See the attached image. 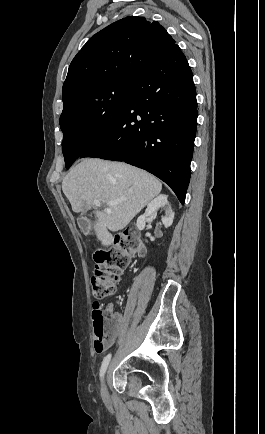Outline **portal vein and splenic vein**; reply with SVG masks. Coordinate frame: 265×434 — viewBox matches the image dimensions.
<instances>
[{"label":"portal vein and splenic vein","mask_w":265,"mask_h":434,"mask_svg":"<svg viewBox=\"0 0 265 434\" xmlns=\"http://www.w3.org/2000/svg\"><path fill=\"white\" fill-rule=\"evenodd\" d=\"M121 202H126V198H120V200H112V202H107V206H116V204H121ZM94 206H101V202L99 200H94L93 202ZM106 210H109V208H106Z\"/></svg>","instance_id":"1"}]
</instances>
